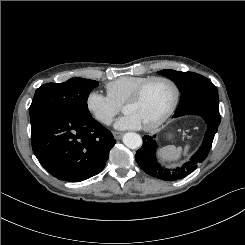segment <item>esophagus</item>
Returning a JSON list of instances; mask_svg holds the SVG:
<instances>
[{"label": "esophagus", "mask_w": 245, "mask_h": 245, "mask_svg": "<svg viewBox=\"0 0 245 245\" xmlns=\"http://www.w3.org/2000/svg\"><path fill=\"white\" fill-rule=\"evenodd\" d=\"M122 135L123 134L121 132H116V131L113 132V136L116 140L121 139Z\"/></svg>", "instance_id": "esophagus-1"}]
</instances>
